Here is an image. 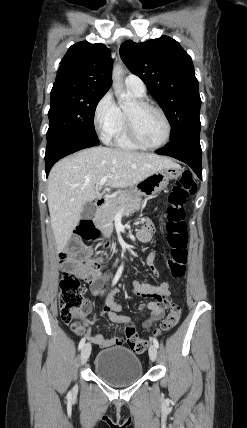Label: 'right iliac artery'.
<instances>
[{
    "mask_svg": "<svg viewBox=\"0 0 247 428\" xmlns=\"http://www.w3.org/2000/svg\"><path fill=\"white\" fill-rule=\"evenodd\" d=\"M122 271H123V265H121L119 267V269L117 270L116 275H115V277L113 279L112 285H115L117 283V281L119 280V278H120V276L122 274ZM84 344H85V337L82 338L81 341L79 342L78 349L79 350L82 349L83 346H84ZM70 395H71V393H69V396Z\"/></svg>",
    "mask_w": 247,
    "mask_h": 428,
    "instance_id": "82829eb1",
    "label": "right iliac artery"
}]
</instances>
